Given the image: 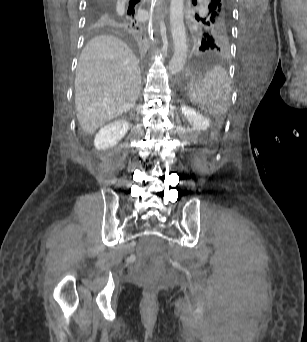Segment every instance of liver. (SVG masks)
<instances>
[{"label": "liver", "mask_w": 307, "mask_h": 342, "mask_svg": "<svg viewBox=\"0 0 307 342\" xmlns=\"http://www.w3.org/2000/svg\"><path fill=\"white\" fill-rule=\"evenodd\" d=\"M141 88L139 62L125 42L97 36L82 50L75 76V106L85 134L133 108Z\"/></svg>", "instance_id": "obj_1"}]
</instances>
